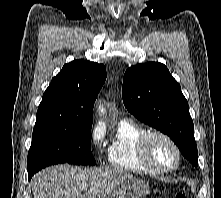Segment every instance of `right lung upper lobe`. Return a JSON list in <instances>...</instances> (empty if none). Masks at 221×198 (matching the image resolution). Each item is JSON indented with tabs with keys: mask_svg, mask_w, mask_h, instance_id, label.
Segmentation results:
<instances>
[{
	"mask_svg": "<svg viewBox=\"0 0 221 198\" xmlns=\"http://www.w3.org/2000/svg\"><path fill=\"white\" fill-rule=\"evenodd\" d=\"M105 80L102 64L82 59L65 64L43 94L35 127L92 125L94 102Z\"/></svg>",
	"mask_w": 221,
	"mask_h": 198,
	"instance_id": "cb5924a9",
	"label": "right lung upper lobe"
}]
</instances>
